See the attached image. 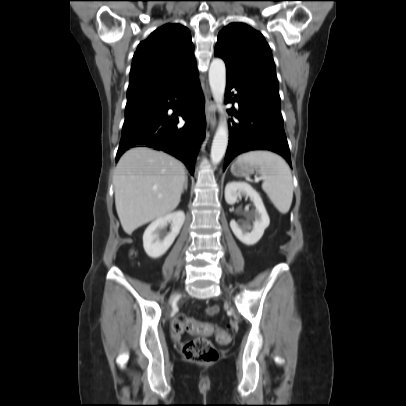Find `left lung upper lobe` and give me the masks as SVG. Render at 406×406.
<instances>
[{"instance_id": "5c2ea615", "label": "left lung upper lobe", "mask_w": 406, "mask_h": 406, "mask_svg": "<svg viewBox=\"0 0 406 406\" xmlns=\"http://www.w3.org/2000/svg\"><path fill=\"white\" fill-rule=\"evenodd\" d=\"M214 55L225 61L227 77L280 99L274 60L260 32L231 23L220 31Z\"/></svg>"}]
</instances>
